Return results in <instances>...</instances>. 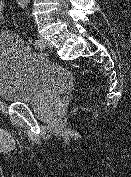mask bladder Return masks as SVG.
<instances>
[{
  "label": "bladder",
  "instance_id": "obj_1",
  "mask_svg": "<svg viewBox=\"0 0 131 177\" xmlns=\"http://www.w3.org/2000/svg\"><path fill=\"white\" fill-rule=\"evenodd\" d=\"M66 68L36 54L14 35L0 34V99L44 104L74 84Z\"/></svg>",
  "mask_w": 131,
  "mask_h": 177
}]
</instances>
